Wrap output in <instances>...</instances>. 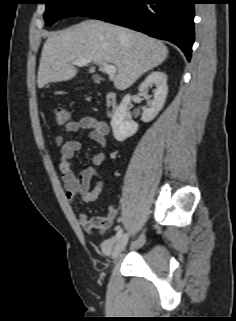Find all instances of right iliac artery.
<instances>
[{
  "instance_id": "right-iliac-artery-1",
  "label": "right iliac artery",
  "mask_w": 236,
  "mask_h": 321,
  "mask_svg": "<svg viewBox=\"0 0 236 321\" xmlns=\"http://www.w3.org/2000/svg\"><path fill=\"white\" fill-rule=\"evenodd\" d=\"M122 232H123V230L120 229V230L116 233V235H115V237H114V240H115V241L118 240V239L122 236Z\"/></svg>"
}]
</instances>
